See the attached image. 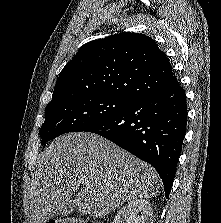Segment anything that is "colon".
I'll return each instance as SVG.
<instances>
[{"mask_svg":"<svg viewBox=\"0 0 221 223\" xmlns=\"http://www.w3.org/2000/svg\"><path fill=\"white\" fill-rule=\"evenodd\" d=\"M46 223H100L97 220L81 217H60L48 220Z\"/></svg>","mask_w":221,"mask_h":223,"instance_id":"colon-1","label":"colon"}]
</instances>
